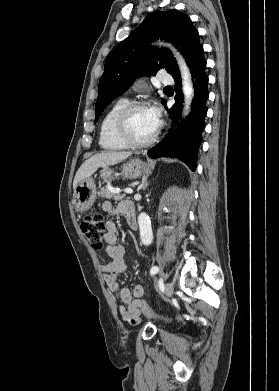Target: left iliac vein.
<instances>
[{
    "label": "left iliac vein",
    "mask_w": 279,
    "mask_h": 391,
    "mask_svg": "<svg viewBox=\"0 0 279 391\" xmlns=\"http://www.w3.org/2000/svg\"><path fill=\"white\" fill-rule=\"evenodd\" d=\"M173 291H174V286L171 282H167L165 284V292H164V296H163V299L164 300H169V298L172 296L173 294Z\"/></svg>",
    "instance_id": "1"
}]
</instances>
